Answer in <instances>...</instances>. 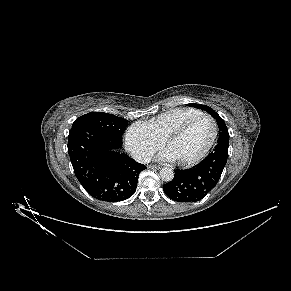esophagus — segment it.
I'll return each instance as SVG.
<instances>
[{
	"label": "esophagus",
	"mask_w": 291,
	"mask_h": 291,
	"mask_svg": "<svg viewBox=\"0 0 291 291\" xmlns=\"http://www.w3.org/2000/svg\"><path fill=\"white\" fill-rule=\"evenodd\" d=\"M148 168H150V169H160V166H158V165H152V164H150V165H148Z\"/></svg>",
	"instance_id": "esophagus-1"
}]
</instances>
